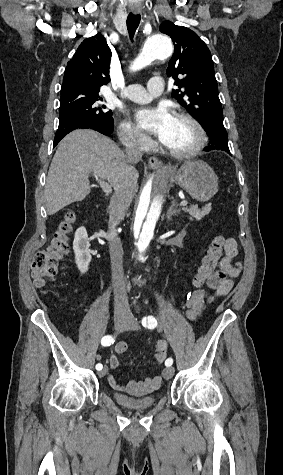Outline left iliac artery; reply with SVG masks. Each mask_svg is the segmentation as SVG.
<instances>
[{
	"instance_id": "44dca946",
	"label": "left iliac artery",
	"mask_w": 283,
	"mask_h": 475,
	"mask_svg": "<svg viewBox=\"0 0 283 475\" xmlns=\"http://www.w3.org/2000/svg\"><path fill=\"white\" fill-rule=\"evenodd\" d=\"M142 325H143L144 327H148V328L152 329V328H155V327H156V325H157V320L155 319V317H153V316L150 315V316L144 317V318L142 319ZM172 364H173V359H172V358H168V359L165 361V365H166L167 367L171 366Z\"/></svg>"
}]
</instances>
